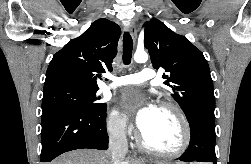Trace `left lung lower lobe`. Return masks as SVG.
Masks as SVG:
<instances>
[{
	"label": "left lung lower lobe",
	"mask_w": 251,
	"mask_h": 164,
	"mask_svg": "<svg viewBox=\"0 0 251 164\" xmlns=\"http://www.w3.org/2000/svg\"><path fill=\"white\" fill-rule=\"evenodd\" d=\"M188 121L191 139L186 154L179 159L185 162L197 161L217 164L214 116L208 113H197Z\"/></svg>",
	"instance_id": "obj_1"
}]
</instances>
